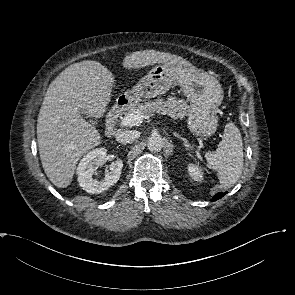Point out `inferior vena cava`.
Wrapping results in <instances>:
<instances>
[{
    "label": "inferior vena cava",
    "mask_w": 295,
    "mask_h": 295,
    "mask_svg": "<svg viewBox=\"0 0 295 295\" xmlns=\"http://www.w3.org/2000/svg\"><path fill=\"white\" fill-rule=\"evenodd\" d=\"M140 133L135 130L119 131L115 135L116 141L122 144L132 143L137 140Z\"/></svg>",
    "instance_id": "602c4592"
}]
</instances>
